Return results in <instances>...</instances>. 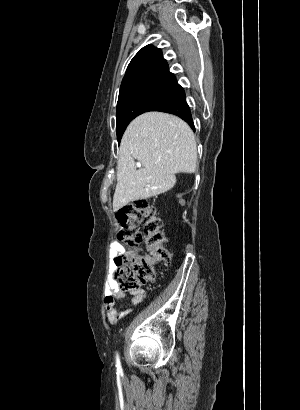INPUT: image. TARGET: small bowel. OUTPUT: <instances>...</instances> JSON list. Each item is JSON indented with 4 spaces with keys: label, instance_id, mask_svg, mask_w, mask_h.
<instances>
[{
    "label": "small bowel",
    "instance_id": "obj_1",
    "mask_svg": "<svg viewBox=\"0 0 300 410\" xmlns=\"http://www.w3.org/2000/svg\"><path fill=\"white\" fill-rule=\"evenodd\" d=\"M125 247L119 242L111 243L110 256L116 257L123 253H128ZM109 268L113 270L116 268V260L112 259ZM128 294L120 291L116 288L115 284L111 280H107L105 285V309L108 321L111 324L118 323L121 319L125 318L130 312L131 309L127 304H118L117 302L125 298ZM130 303L135 305L142 302L146 297V292L144 289L138 288L133 290L131 293Z\"/></svg>",
    "mask_w": 300,
    "mask_h": 410
}]
</instances>
